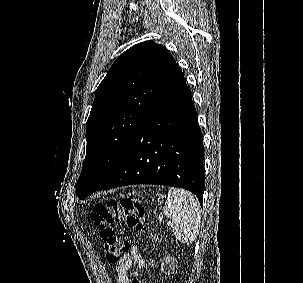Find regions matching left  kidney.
Segmentation results:
<instances>
[{
  "instance_id": "left-kidney-1",
  "label": "left kidney",
  "mask_w": 303,
  "mask_h": 283,
  "mask_svg": "<svg viewBox=\"0 0 303 283\" xmlns=\"http://www.w3.org/2000/svg\"><path fill=\"white\" fill-rule=\"evenodd\" d=\"M175 260L173 258L170 257H166L165 258V263H163V266L161 267V270L168 272L171 270H173L175 268Z\"/></svg>"
}]
</instances>
